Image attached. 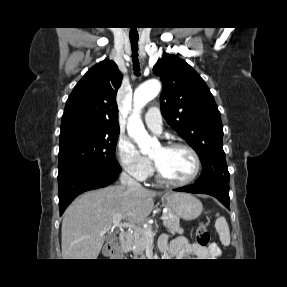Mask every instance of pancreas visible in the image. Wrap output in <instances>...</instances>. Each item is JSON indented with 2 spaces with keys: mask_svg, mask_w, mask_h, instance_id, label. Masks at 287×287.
I'll list each match as a JSON object with an SVG mask.
<instances>
[{
  "mask_svg": "<svg viewBox=\"0 0 287 287\" xmlns=\"http://www.w3.org/2000/svg\"><path fill=\"white\" fill-rule=\"evenodd\" d=\"M164 215L167 218L163 220V224L170 233L172 234H175V233L183 234L184 233L183 229L180 228V220L178 216H176L171 211H167L166 213H164ZM151 228L152 227L149 225L147 228H143L133 233L132 245L134 247L133 248L134 254L145 256L144 252L146 250V245H147L149 236L144 233V230H149Z\"/></svg>",
  "mask_w": 287,
  "mask_h": 287,
  "instance_id": "cf45deb5",
  "label": "pancreas"
}]
</instances>
